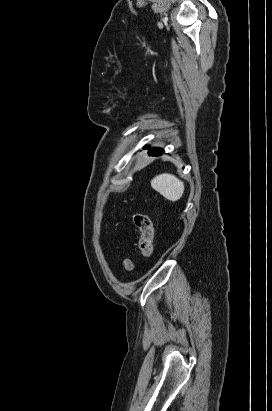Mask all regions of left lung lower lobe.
I'll return each mask as SVG.
<instances>
[{"label":"left lung lower lobe","instance_id":"1","mask_svg":"<svg viewBox=\"0 0 272 411\" xmlns=\"http://www.w3.org/2000/svg\"><path fill=\"white\" fill-rule=\"evenodd\" d=\"M161 154H163V150H162V149H159V148L149 149V155H150V156H159V155H161Z\"/></svg>","mask_w":272,"mask_h":411}]
</instances>
